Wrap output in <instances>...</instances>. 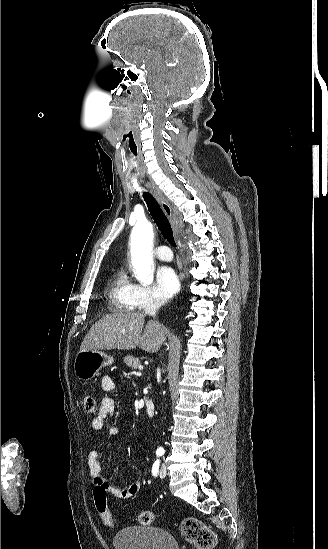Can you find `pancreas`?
Instances as JSON below:
<instances>
[{
    "label": "pancreas",
    "instance_id": "obj_1",
    "mask_svg": "<svg viewBox=\"0 0 328 549\" xmlns=\"http://www.w3.org/2000/svg\"><path fill=\"white\" fill-rule=\"evenodd\" d=\"M124 363H126L128 367H132V369H137L141 361H139V359H136V357H133V355H129V357H124Z\"/></svg>",
    "mask_w": 328,
    "mask_h": 549
}]
</instances>
